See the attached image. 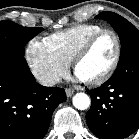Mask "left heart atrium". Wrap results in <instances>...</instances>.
<instances>
[{
	"label": "left heart atrium",
	"instance_id": "obj_1",
	"mask_svg": "<svg viewBox=\"0 0 139 139\" xmlns=\"http://www.w3.org/2000/svg\"><path fill=\"white\" fill-rule=\"evenodd\" d=\"M76 78H77L79 81H82V82L89 81L86 77H84L83 75H81V74L78 73L77 71H76Z\"/></svg>",
	"mask_w": 139,
	"mask_h": 139
}]
</instances>
